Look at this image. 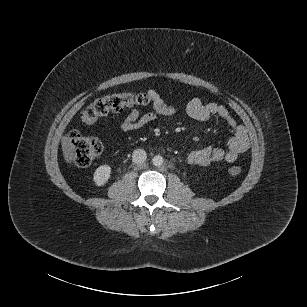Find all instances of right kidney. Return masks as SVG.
<instances>
[{
	"mask_svg": "<svg viewBox=\"0 0 307 307\" xmlns=\"http://www.w3.org/2000/svg\"><path fill=\"white\" fill-rule=\"evenodd\" d=\"M111 167L102 165L98 167L94 173V182L97 186L104 185L110 178Z\"/></svg>",
	"mask_w": 307,
	"mask_h": 307,
	"instance_id": "obj_1",
	"label": "right kidney"
}]
</instances>
